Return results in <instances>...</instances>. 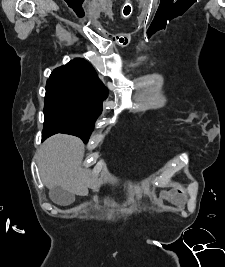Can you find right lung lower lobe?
<instances>
[{
    "mask_svg": "<svg viewBox=\"0 0 225 267\" xmlns=\"http://www.w3.org/2000/svg\"><path fill=\"white\" fill-rule=\"evenodd\" d=\"M49 136H51V133H45L44 131L42 132V138H43V140H45Z\"/></svg>",
    "mask_w": 225,
    "mask_h": 267,
    "instance_id": "98d812e1",
    "label": "right lung lower lobe"
}]
</instances>
